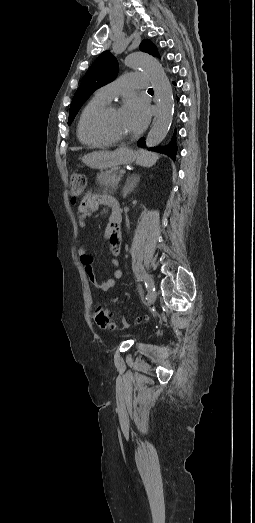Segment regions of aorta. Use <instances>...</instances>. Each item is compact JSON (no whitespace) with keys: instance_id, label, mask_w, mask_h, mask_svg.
<instances>
[{"instance_id":"aorta-1","label":"aorta","mask_w":255,"mask_h":523,"mask_svg":"<svg viewBox=\"0 0 255 523\" xmlns=\"http://www.w3.org/2000/svg\"><path fill=\"white\" fill-rule=\"evenodd\" d=\"M125 65L140 68L148 77L159 101V115L146 137V145L154 147L166 137L174 115V98L171 83L157 59L142 53L134 52L125 58Z\"/></svg>"}]
</instances>
